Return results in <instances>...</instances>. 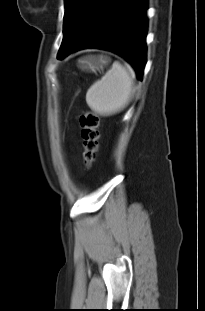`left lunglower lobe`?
<instances>
[{
    "label": "left lung lower lobe",
    "instance_id": "left-lung-lower-lobe-1",
    "mask_svg": "<svg viewBox=\"0 0 205 311\" xmlns=\"http://www.w3.org/2000/svg\"><path fill=\"white\" fill-rule=\"evenodd\" d=\"M146 4L147 0H117L96 28L58 59L83 48L105 49L128 60L141 79L146 62Z\"/></svg>",
    "mask_w": 205,
    "mask_h": 311
}]
</instances>
